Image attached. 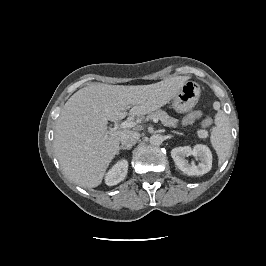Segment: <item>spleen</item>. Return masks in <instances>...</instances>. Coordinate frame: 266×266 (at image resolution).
I'll return each mask as SVG.
<instances>
[{"label": "spleen", "mask_w": 266, "mask_h": 266, "mask_svg": "<svg viewBox=\"0 0 266 266\" xmlns=\"http://www.w3.org/2000/svg\"><path fill=\"white\" fill-rule=\"evenodd\" d=\"M211 143L218 155L219 165L223 164L229 155L231 148V129L227 115L218 111L215 118V126L211 131Z\"/></svg>", "instance_id": "3e777b00"}]
</instances>
